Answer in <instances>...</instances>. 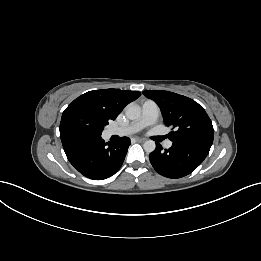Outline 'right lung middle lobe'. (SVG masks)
I'll return each mask as SVG.
<instances>
[{"instance_id": "dd1d6c3e", "label": "right lung middle lobe", "mask_w": 261, "mask_h": 261, "mask_svg": "<svg viewBox=\"0 0 261 261\" xmlns=\"http://www.w3.org/2000/svg\"><path fill=\"white\" fill-rule=\"evenodd\" d=\"M108 119L84 103L70 104L62 114L60 134L83 133L101 136Z\"/></svg>"}]
</instances>
